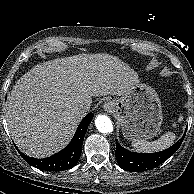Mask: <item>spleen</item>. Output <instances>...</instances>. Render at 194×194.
I'll use <instances>...</instances> for the list:
<instances>
[{
    "label": "spleen",
    "mask_w": 194,
    "mask_h": 194,
    "mask_svg": "<svg viewBox=\"0 0 194 194\" xmlns=\"http://www.w3.org/2000/svg\"><path fill=\"white\" fill-rule=\"evenodd\" d=\"M183 116H179L178 121H182ZM176 124H173L175 127ZM176 139L173 132H166L158 140L148 142L141 139H133L132 146L138 152H156L171 146Z\"/></svg>",
    "instance_id": "obj_1"
}]
</instances>
